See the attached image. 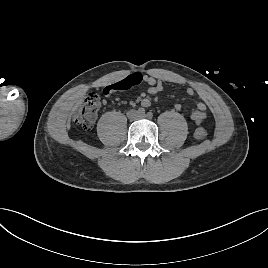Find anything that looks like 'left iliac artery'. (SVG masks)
I'll use <instances>...</instances> for the list:
<instances>
[{"mask_svg":"<svg viewBox=\"0 0 268 268\" xmlns=\"http://www.w3.org/2000/svg\"><path fill=\"white\" fill-rule=\"evenodd\" d=\"M147 117L151 119L153 117V113L152 112H148L147 113Z\"/></svg>","mask_w":268,"mask_h":268,"instance_id":"obj_1","label":"left iliac artery"}]
</instances>
